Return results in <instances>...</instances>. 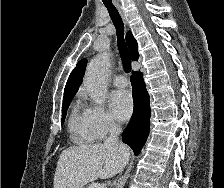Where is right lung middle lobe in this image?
<instances>
[{
    "label": "right lung middle lobe",
    "instance_id": "dd1d6c3e",
    "mask_svg": "<svg viewBox=\"0 0 224 188\" xmlns=\"http://www.w3.org/2000/svg\"><path fill=\"white\" fill-rule=\"evenodd\" d=\"M71 100H72V98L63 101V109H62V115H63V117L61 119V124L64 123V119H65V116H66V113H67V109L69 107V104H70Z\"/></svg>",
    "mask_w": 224,
    "mask_h": 188
}]
</instances>
